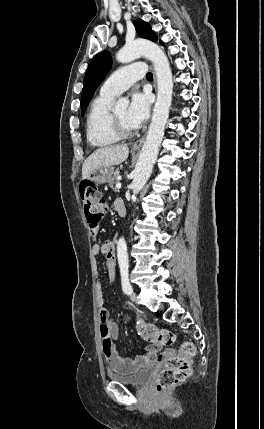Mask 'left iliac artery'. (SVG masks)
I'll return each instance as SVG.
<instances>
[{
  "instance_id": "left-iliac-artery-1",
  "label": "left iliac artery",
  "mask_w": 264,
  "mask_h": 429,
  "mask_svg": "<svg viewBox=\"0 0 264 429\" xmlns=\"http://www.w3.org/2000/svg\"><path fill=\"white\" fill-rule=\"evenodd\" d=\"M120 272H121L122 290L126 294H131L133 289L129 282L128 268H121Z\"/></svg>"
}]
</instances>
